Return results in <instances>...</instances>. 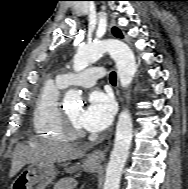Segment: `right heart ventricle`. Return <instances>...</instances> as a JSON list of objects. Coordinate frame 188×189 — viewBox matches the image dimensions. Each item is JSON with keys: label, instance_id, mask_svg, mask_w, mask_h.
<instances>
[{"label": "right heart ventricle", "instance_id": "obj_1", "mask_svg": "<svg viewBox=\"0 0 188 189\" xmlns=\"http://www.w3.org/2000/svg\"><path fill=\"white\" fill-rule=\"evenodd\" d=\"M63 87L57 82L47 80L37 95L33 108L34 132L53 142H64L66 136L63 131L59 97Z\"/></svg>", "mask_w": 188, "mask_h": 189}]
</instances>
